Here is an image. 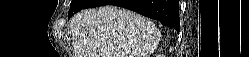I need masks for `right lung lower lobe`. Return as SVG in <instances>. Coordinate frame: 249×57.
<instances>
[{
  "mask_svg": "<svg viewBox=\"0 0 249 57\" xmlns=\"http://www.w3.org/2000/svg\"><path fill=\"white\" fill-rule=\"evenodd\" d=\"M103 5L124 7L179 31V0H91L86 8Z\"/></svg>",
  "mask_w": 249,
  "mask_h": 57,
  "instance_id": "obj_1",
  "label": "right lung lower lobe"
}]
</instances>
